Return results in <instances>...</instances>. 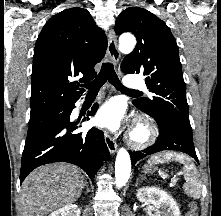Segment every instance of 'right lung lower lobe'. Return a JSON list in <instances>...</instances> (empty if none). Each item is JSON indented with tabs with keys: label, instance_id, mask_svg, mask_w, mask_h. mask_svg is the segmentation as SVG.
<instances>
[{
	"label": "right lung lower lobe",
	"instance_id": "obj_1",
	"mask_svg": "<svg viewBox=\"0 0 221 216\" xmlns=\"http://www.w3.org/2000/svg\"><path fill=\"white\" fill-rule=\"evenodd\" d=\"M76 101L63 106L61 114L35 137L26 140L22 155L20 183L38 166L53 162H68L82 168L93 179L109 150L104 133L93 127L87 132L73 133L79 122H71L70 115ZM94 105L87 116H93ZM89 120V117L82 121Z\"/></svg>",
	"mask_w": 221,
	"mask_h": 216
}]
</instances>
